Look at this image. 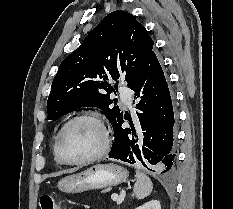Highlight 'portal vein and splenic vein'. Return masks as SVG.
<instances>
[{
    "mask_svg": "<svg viewBox=\"0 0 233 209\" xmlns=\"http://www.w3.org/2000/svg\"><path fill=\"white\" fill-rule=\"evenodd\" d=\"M111 199H112L113 201H119V196H118L117 194H112V195H111Z\"/></svg>",
    "mask_w": 233,
    "mask_h": 209,
    "instance_id": "obj_1",
    "label": "portal vein and splenic vein"
}]
</instances>
